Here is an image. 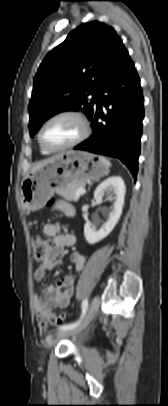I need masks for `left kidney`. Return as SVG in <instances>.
Masks as SVG:
<instances>
[{
  "mask_svg": "<svg viewBox=\"0 0 168 406\" xmlns=\"http://www.w3.org/2000/svg\"><path fill=\"white\" fill-rule=\"evenodd\" d=\"M125 184L120 176H111L104 180L94 191V199L102 202L104 196H108L113 201V206L108 214V220L102 224L99 230L96 225L86 223L84 226V236L89 244H95L105 237L114 229L122 214L125 197Z\"/></svg>",
  "mask_w": 168,
  "mask_h": 406,
  "instance_id": "1",
  "label": "left kidney"
}]
</instances>
